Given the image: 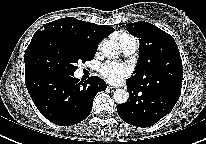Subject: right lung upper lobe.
<instances>
[{
    "label": "right lung upper lobe",
    "mask_w": 206,
    "mask_h": 144,
    "mask_svg": "<svg viewBox=\"0 0 206 144\" xmlns=\"http://www.w3.org/2000/svg\"><path fill=\"white\" fill-rule=\"evenodd\" d=\"M114 32L111 26L97 25L66 17L44 24L31 40L41 37H53L87 49L97 50L98 44Z\"/></svg>",
    "instance_id": "right-lung-upper-lobe-1"
}]
</instances>
